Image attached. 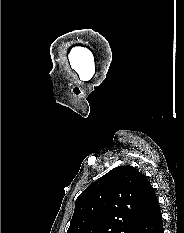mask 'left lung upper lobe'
Instances as JSON below:
<instances>
[{"instance_id": "1", "label": "left lung upper lobe", "mask_w": 184, "mask_h": 233, "mask_svg": "<svg viewBox=\"0 0 184 233\" xmlns=\"http://www.w3.org/2000/svg\"><path fill=\"white\" fill-rule=\"evenodd\" d=\"M154 189L132 166H118L76 199L67 233H133Z\"/></svg>"}]
</instances>
